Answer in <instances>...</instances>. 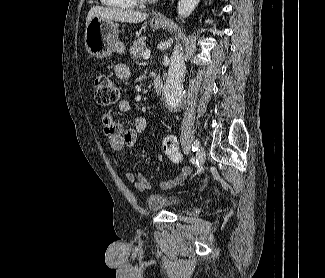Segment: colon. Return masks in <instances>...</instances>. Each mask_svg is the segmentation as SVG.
I'll return each instance as SVG.
<instances>
[{
	"instance_id": "1",
	"label": "colon",
	"mask_w": 325,
	"mask_h": 278,
	"mask_svg": "<svg viewBox=\"0 0 325 278\" xmlns=\"http://www.w3.org/2000/svg\"><path fill=\"white\" fill-rule=\"evenodd\" d=\"M93 95L96 103L103 107L115 104L120 98L117 85L105 75H98L95 78ZM162 148L164 153L173 163L181 162L182 156L178 148L177 140L174 136H165L162 140Z\"/></svg>"
}]
</instances>
